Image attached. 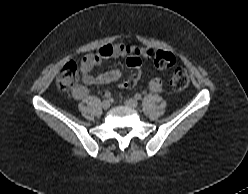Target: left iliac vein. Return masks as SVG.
<instances>
[{"instance_id": "obj_1", "label": "left iliac vein", "mask_w": 248, "mask_h": 194, "mask_svg": "<svg viewBox=\"0 0 248 194\" xmlns=\"http://www.w3.org/2000/svg\"><path fill=\"white\" fill-rule=\"evenodd\" d=\"M125 104L131 108H136L138 106V102L135 99H128L125 101Z\"/></svg>"}]
</instances>
